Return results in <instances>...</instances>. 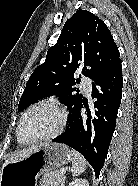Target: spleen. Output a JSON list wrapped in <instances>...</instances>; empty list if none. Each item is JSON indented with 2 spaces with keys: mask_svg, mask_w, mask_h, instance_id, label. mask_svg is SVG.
Returning <instances> with one entry per match:
<instances>
[{
  "mask_svg": "<svg viewBox=\"0 0 138 186\" xmlns=\"http://www.w3.org/2000/svg\"><path fill=\"white\" fill-rule=\"evenodd\" d=\"M71 156H72L71 171L73 173V176H78L85 171L86 161H85L84 157L75 150H71Z\"/></svg>",
  "mask_w": 138,
  "mask_h": 186,
  "instance_id": "1",
  "label": "spleen"
}]
</instances>
